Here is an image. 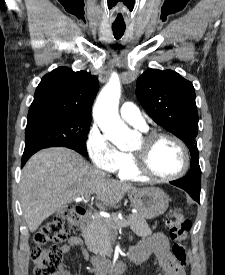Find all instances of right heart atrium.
<instances>
[{"label":"right heart atrium","instance_id":"1","mask_svg":"<svg viewBox=\"0 0 225 275\" xmlns=\"http://www.w3.org/2000/svg\"><path fill=\"white\" fill-rule=\"evenodd\" d=\"M87 151L95 167L106 172H116L124 162V153L96 126L88 135Z\"/></svg>","mask_w":225,"mask_h":275}]
</instances>
